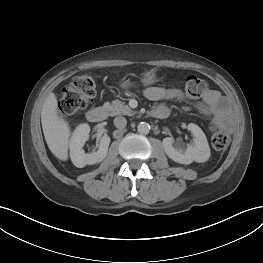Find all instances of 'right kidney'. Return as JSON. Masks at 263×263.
Returning a JSON list of instances; mask_svg holds the SVG:
<instances>
[{
    "label": "right kidney",
    "instance_id": "ca27d5eb",
    "mask_svg": "<svg viewBox=\"0 0 263 263\" xmlns=\"http://www.w3.org/2000/svg\"><path fill=\"white\" fill-rule=\"evenodd\" d=\"M89 133L90 126L86 123H83L76 127L70 139V158L72 163L78 168L100 163L104 160L108 152L110 137L104 135L100 138L98 151L91 154H86L83 150V146L89 139Z\"/></svg>",
    "mask_w": 263,
    "mask_h": 263
}]
</instances>
